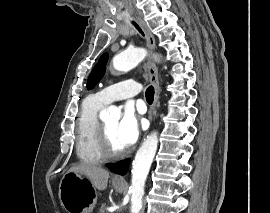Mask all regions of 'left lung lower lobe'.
I'll return each instance as SVG.
<instances>
[{"mask_svg": "<svg viewBox=\"0 0 270 213\" xmlns=\"http://www.w3.org/2000/svg\"><path fill=\"white\" fill-rule=\"evenodd\" d=\"M129 159H126V160H123V161H120L116 164H112L109 169L112 171V172H115L117 174H121V175H124L127 170H128V166H129Z\"/></svg>", "mask_w": 270, "mask_h": 213, "instance_id": "left-lung-lower-lobe-1", "label": "left lung lower lobe"}]
</instances>
